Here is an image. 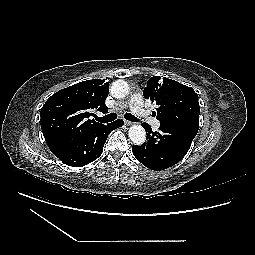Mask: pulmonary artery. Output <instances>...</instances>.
<instances>
[{"label":"pulmonary artery","instance_id":"e3ab8cb5","mask_svg":"<svg viewBox=\"0 0 255 255\" xmlns=\"http://www.w3.org/2000/svg\"><path fill=\"white\" fill-rule=\"evenodd\" d=\"M128 105L135 115L145 120H149L151 118L149 111H147L143 106V97L140 93L131 94L128 100ZM152 126L154 129H158L160 123L157 120H152Z\"/></svg>","mask_w":255,"mask_h":255}]
</instances>
